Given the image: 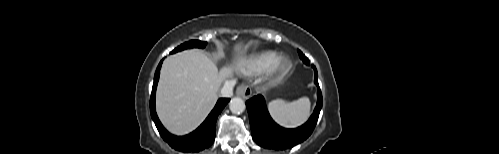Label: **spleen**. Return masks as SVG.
Returning <instances> with one entry per match:
<instances>
[{"mask_svg": "<svg viewBox=\"0 0 499 154\" xmlns=\"http://www.w3.org/2000/svg\"><path fill=\"white\" fill-rule=\"evenodd\" d=\"M272 118L281 126L295 128L303 124L310 115V100L302 97L288 102L283 99L268 103Z\"/></svg>", "mask_w": 499, "mask_h": 154, "instance_id": "3e777b00", "label": "spleen"}]
</instances>
